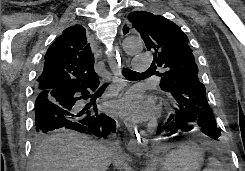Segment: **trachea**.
Returning a JSON list of instances; mask_svg holds the SVG:
<instances>
[{
    "label": "trachea",
    "mask_w": 245,
    "mask_h": 171,
    "mask_svg": "<svg viewBox=\"0 0 245 171\" xmlns=\"http://www.w3.org/2000/svg\"><path fill=\"white\" fill-rule=\"evenodd\" d=\"M122 73H123V75H124L126 78H132V77H135V76L140 75V73L135 72V71H132V70H130V69H126V68L123 69Z\"/></svg>",
    "instance_id": "3493384b"
}]
</instances>
